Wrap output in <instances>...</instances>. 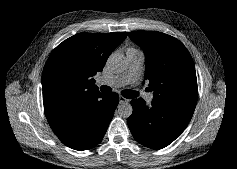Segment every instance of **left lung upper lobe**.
I'll list each match as a JSON object with an SVG mask.
<instances>
[{"instance_id": "left-lung-upper-lobe-1", "label": "left lung upper lobe", "mask_w": 237, "mask_h": 169, "mask_svg": "<svg viewBox=\"0 0 237 169\" xmlns=\"http://www.w3.org/2000/svg\"><path fill=\"white\" fill-rule=\"evenodd\" d=\"M146 55L145 79L157 102L194 111L197 103L195 65L176 38L156 31L130 32Z\"/></svg>"}]
</instances>
